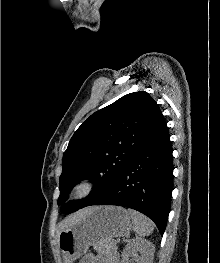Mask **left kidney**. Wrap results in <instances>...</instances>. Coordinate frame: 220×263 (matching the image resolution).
Masks as SVG:
<instances>
[{
  "label": "left kidney",
  "instance_id": "1",
  "mask_svg": "<svg viewBox=\"0 0 220 263\" xmlns=\"http://www.w3.org/2000/svg\"><path fill=\"white\" fill-rule=\"evenodd\" d=\"M155 246L146 239L135 238L131 240L122 252V262L128 263L130 257H134L137 263H152ZM137 252L141 256L137 255Z\"/></svg>",
  "mask_w": 220,
  "mask_h": 263
}]
</instances>
